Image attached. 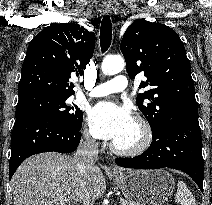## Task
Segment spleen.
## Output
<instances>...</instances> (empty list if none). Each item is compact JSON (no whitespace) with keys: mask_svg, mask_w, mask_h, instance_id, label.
<instances>
[{"mask_svg":"<svg viewBox=\"0 0 212 205\" xmlns=\"http://www.w3.org/2000/svg\"><path fill=\"white\" fill-rule=\"evenodd\" d=\"M177 193L175 196V201L179 205H196V201L190 190L184 184V182L179 181L177 184Z\"/></svg>","mask_w":212,"mask_h":205,"instance_id":"1","label":"spleen"}]
</instances>
